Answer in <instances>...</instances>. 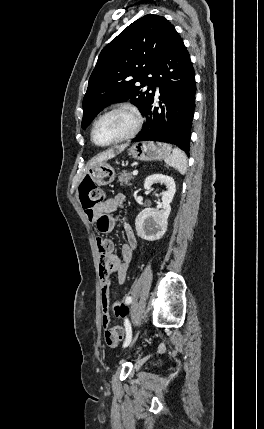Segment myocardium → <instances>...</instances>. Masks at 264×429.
<instances>
[{
    "label": "myocardium",
    "instance_id": "1",
    "mask_svg": "<svg viewBox=\"0 0 264 429\" xmlns=\"http://www.w3.org/2000/svg\"><path fill=\"white\" fill-rule=\"evenodd\" d=\"M115 113H124V114L129 115L133 119V126H132L131 130L126 135H124V136H122V137H120L114 141H111L109 143H105V144L98 143L95 139V130H96L97 125L105 117L112 115V114H115ZM142 124H143V118H142L141 114L139 113V111L134 106L127 105V104L118 105V106H115V107L107 110L106 112L101 114L95 120V122L92 126V130H91V139L95 145L100 146V147H108V146H112L115 144H119L121 142H124V141H127V140L134 138L138 134V132L140 131Z\"/></svg>",
    "mask_w": 264,
    "mask_h": 429
}]
</instances>
